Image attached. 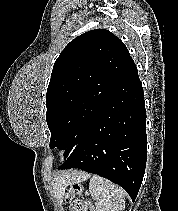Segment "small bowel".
<instances>
[{"label":"small bowel","instance_id":"small-bowel-1","mask_svg":"<svg viewBox=\"0 0 178 211\" xmlns=\"http://www.w3.org/2000/svg\"><path fill=\"white\" fill-rule=\"evenodd\" d=\"M80 211H94V209L89 203H83Z\"/></svg>","mask_w":178,"mask_h":211}]
</instances>
